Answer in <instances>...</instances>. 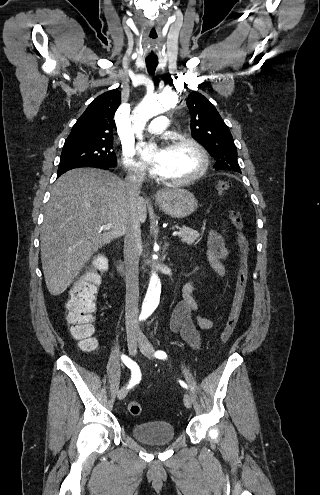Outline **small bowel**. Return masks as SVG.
<instances>
[{"label": "small bowel", "instance_id": "obj_1", "mask_svg": "<svg viewBox=\"0 0 320 495\" xmlns=\"http://www.w3.org/2000/svg\"><path fill=\"white\" fill-rule=\"evenodd\" d=\"M208 260L211 267L221 275L227 273L223 261L230 256V249L226 245L223 236L214 229L209 231ZM193 281L183 285V299L175 306L170 317V328L173 332H179L188 345L198 349L201 345L199 330H210L217 323L199 313L197 300L193 297Z\"/></svg>", "mask_w": 320, "mask_h": 495}]
</instances>
